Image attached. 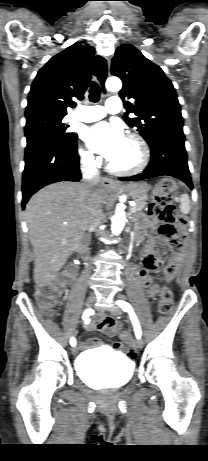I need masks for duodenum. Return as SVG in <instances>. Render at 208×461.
Here are the masks:
<instances>
[{"mask_svg": "<svg viewBox=\"0 0 208 461\" xmlns=\"http://www.w3.org/2000/svg\"><path fill=\"white\" fill-rule=\"evenodd\" d=\"M82 247H83V249H85L86 245H85V244H83V245H82Z\"/></svg>", "mask_w": 208, "mask_h": 461, "instance_id": "1", "label": "duodenum"}]
</instances>
